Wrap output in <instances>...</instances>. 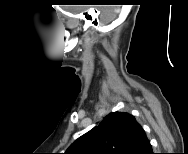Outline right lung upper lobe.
<instances>
[{
  "label": "right lung upper lobe",
  "mask_w": 188,
  "mask_h": 154,
  "mask_svg": "<svg viewBox=\"0 0 188 154\" xmlns=\"http://www.w3.org/2000/svg\"><path fill=\"white\" fill-rule=\"evenodd\" d=\"M151 144L135 117L111 112L100 124L79 137L65 154H147Z\"/></svg>",
  "instance_id": "obj_1"
}]
</instances>
